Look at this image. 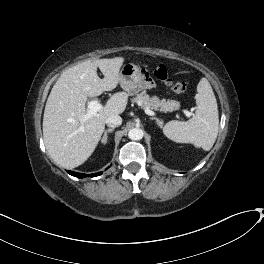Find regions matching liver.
I'll return each instance as SVG.
<instances>
[{"instance_id": "6515ba94", "label": "liver", "mask_w": 264, "mask_h": 264, "mask_svg": "<svg viewBox=\"0 0 264 264\" xmlns=\"http://www.w3.org/2000/svg\"><path fill=\"white\" fill-rule=\"evenodd\" d=\"M123 63V57L86 60L65 70L54 84L44 110L43 139L58 165L70 169L83 164L94 152L106 119L124 112L128 94L117 92L98 113L84 120L88 97L115 89Z\"/></svg>"}]
</instances>
